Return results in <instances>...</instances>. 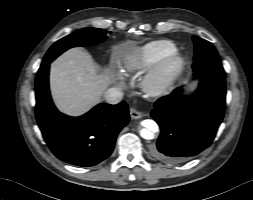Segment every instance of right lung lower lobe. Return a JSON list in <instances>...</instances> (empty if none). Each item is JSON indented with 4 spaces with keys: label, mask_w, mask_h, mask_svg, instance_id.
I'll use <instances>...</instances> for the list:
<instances>
[{
    "label": "right lung lower lobe",
    "mask_w": 253,
    "mask_h": 200,
    "mask_svg": "<svg viewBox=\"0 0 253 200\" xmlns=\"http://www.w3.org/2000/svg\"><path fill=\"white\" fill-rule=\"evenodd\" d=\"M42 62L36 76V119L53 154L67 163L87 167L113 151L119 131L129 122L128 106L101 103L80 117H69L54 106L48 84L49 66Z\"/></svg>",
    "instance_id": "obj_1"
}]
</instances>
